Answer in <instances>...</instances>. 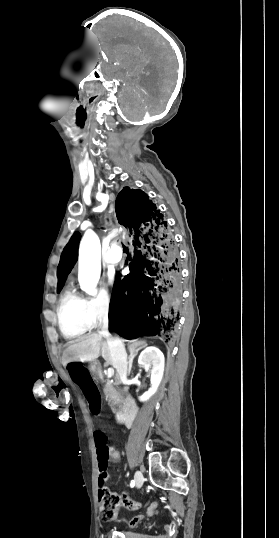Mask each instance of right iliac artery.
Returning a JSON list of instances; mask_svg holds the SVG:
<instances>
[{
	"instance_id": "1",
	"label": "right iliac artery",
	"mask_w": 279,
	"mask_h": 538,
	"mask_svg": "<svg viewBox=\"0 0 279 538\" xmlns=\"http://www.w3.org/2000/svg\"><path fill=\"white\" fill-rule=\"evenodd\" d=\"M134 485H135V482L132 480L131 483H130V486L134 487Z\"/></svg>"
}]
</instances>
